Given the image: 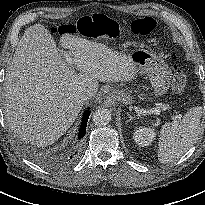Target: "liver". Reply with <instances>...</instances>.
<instances>
[{"mask_svg":"<svg viewBox=\"0 0 205 205\" xmlns=\"http://www.w3.org/2000/svg\"><path fill=\"white\" fill-rule=\"evenodd\" d=\"M60 41L74 66L59 53L50 31L36 24L24 32L6 73L8 125L38 147L53 144L74 123L83 106L75 101L78 92L93 97L99 81H130L136 74L128 56L106 45L70 33Z\"/></svg>","mask_w":205,"mask_h":205,"instance_id":"1","label":"liver"}]
</instances>
